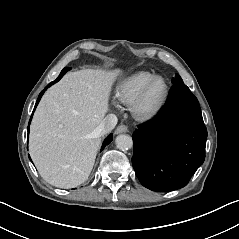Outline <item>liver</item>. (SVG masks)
Returning <instances> with one entry per match:
<instances>
[{
	"label": "liver",
	"instance_id": "obj_1",
	"mask_svg": "<svg viewBox=\"0 0 239 239\" xmlns=\"http://www.w3.org/2000/svg\"><path fill=\"white\" fill-rule=\"evenodd\" d=\"M119 74V69L68 72L43 95L30 125L29 153L47 183L69 189L88 179L101 144L96 129Z\"/></svg>",
	"mask_w": 239,
	"mask_h": 239
}]
</instances>
